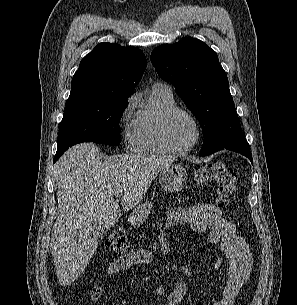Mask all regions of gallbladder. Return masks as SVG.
I'll list each match as a JSON object with an SVG mask.
<instances>
[{"mask_svg":"<svg viewBox=\"0 0 297 305\" xmlns=\"http://www.w3.org/2000/svg\"><path fill=\"white\" fill-rule=\"evenodd\" d=\"M103 233H104V228L102 225L93 224L89 232V236L92 239L98 240L99 238L102 237Z\"/></svg>","mask_w":297,"mask_h":305,"instance_id":"gallbladder-1","label":"gallbladder"}]
</instances>
